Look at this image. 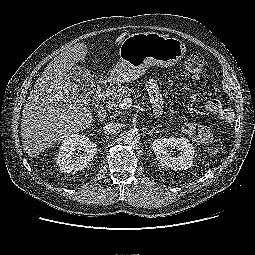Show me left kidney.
<instances>
[{
  "label": "left kidney",
  "mask_w": 255,
  "mask_h": 255,
  "mask_svg": "<svg viewBox=\"0 0 255 255\" xmlns=\"http://www.w3.org/2000/svg\"><path fill=\"white\" fill-rule=\"evenodd\" d=\"M152 147L162 166L177 171L186 170L193 165L194 147L184 137L158 138L153 142ZM169 148H177L180 154L177 157L173 156Z\"/></svg>",
  "instance_id": "1"
}]
</instances>
